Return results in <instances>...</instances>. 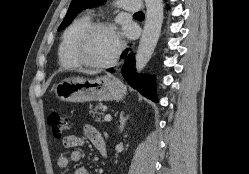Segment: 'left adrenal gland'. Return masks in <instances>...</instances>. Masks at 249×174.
Segmentation results:
<instances>
[{
    "instance_id": "a2214340",
    "label": "left adrenal gland",
    "mask_w": 249,
    "mask_h": 174,
    "mask_svg": "<svg viewBox=\"0 0 249 174\" xmlns=\"http://www.w3.org/2000/svg\"><path fill=\"white\" fill-rule=\"evenodd\" d=\"M119 122H120V126H119V132L121 133L124 130V126L126 121L129 119V115H127L126 117H124V112L122 111L120 113V117H119Z\"/></svg>"
}]
</instances>
